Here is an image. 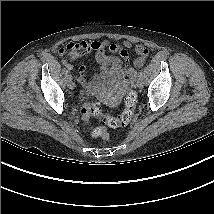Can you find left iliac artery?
Instances as JSON below:
<instances>
[{"instance_id": "left-iliac-artery-1", "label": "left iliac artery", "mask_w": 214, "mask_h": 214, "mask_svg": "<svg viewBox=\"0 0 214 214\" xmlns=\"http://www.w3.org/2000/svg\"><path fill=\"white\" fill-rule=\"evenodd\" d=\"M142 74H143L142 72H139V73H138V76H139V77H142Z\"/></svg>"}]
</instances>
